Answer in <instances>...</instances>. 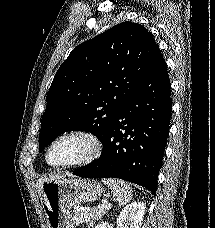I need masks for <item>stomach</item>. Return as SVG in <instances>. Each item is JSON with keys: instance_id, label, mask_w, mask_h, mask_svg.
<instances>
[{"instance_id": "stomach-1", "label": "stomach", "mask_w": 215, "mask_h": 228, "mask_svg": "<svg viewBox=\"0 0 215 228\" xmlns=\"http://www.w3.org/2000/svg\"><path fill=\"white\" fill-rule=\"evenodd\" d=\"M42 202L44 206L47 228H71L69 206H77L81 202H94L101 198L105 190L95 180H79V178H59L44 182Z\"/></svg>"}]
</instances>
